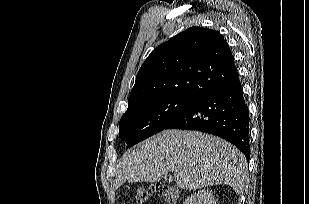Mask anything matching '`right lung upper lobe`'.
Segmentation results:
<instances>
[{
    "instance_id": "1",
    "label": "right lung upper lobe",
    "mask_w": 309,
    "mask_h": 204,
    "mask_svg": "<svg viewBox=\"0 0 309 204\" xmlns=\"http://www.w3.org/2000/svg\"><path fill=\"white\" fill-rule=\"evenodd\" d=\"M237 76L223 36L215 30L191 27L152 51L138 71L128 105L161 96L201 98Z\"/></svg>"
}]
</instances>
